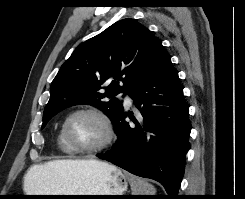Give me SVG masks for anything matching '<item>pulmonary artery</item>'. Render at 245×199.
Listing matches in <instances>:
<instances>
[{
  "instance_id": "e3ab8cb5",
  "label": "pulmonary artery",
  "mask_w": 245,
  "mask_h": 199,
  "mask_svg": "<svg viewBox=\"0 0 245 199\" xmlns=\"http://www.w3.org/2000/svg\"><path fill=\"white\" fill-rule=\"evenodd\" d=\"M125 102L128 106H130L132 104V99L130 98L129 95H126L125 96Z\"/></svg>"
}]
</instances>
